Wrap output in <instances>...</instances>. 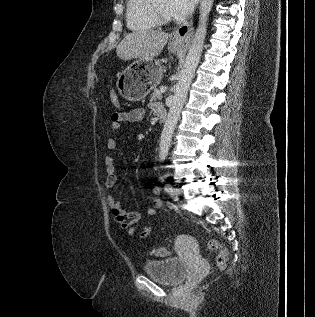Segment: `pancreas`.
<instances>
[{
	"mask_svg": "<svg viewBox=\"0 0 315 317\" xmlns=\"http://www.w3.org/2000/svg\"><path fill=\"white\" fill-rule=\"evenodd\" d=\"M151 101H155L157 99H162V93L159 89L154 88L151 96H150Z\"/></svg>",
	"mask_w": 315,
	"mask_h": 317,
	"instance_id": "cf45deb5",
	"label": "pancreas"
}]
</instances>
